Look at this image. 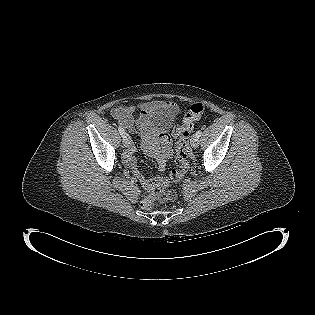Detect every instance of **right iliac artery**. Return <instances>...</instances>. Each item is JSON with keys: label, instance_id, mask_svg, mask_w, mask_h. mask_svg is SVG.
Here are the masks:
<instances>
[{"label": "right iliac artery", "instance_id": "obj_1", "mask_svg": "<svg viewBox=\"0 0 315 315\" xmlns=\"http://www.w3.org/2000/svg\"><path fill=\"white\" fill-rule=\"evenodd\" d=\"M118 131L122 137L125 136V130L121 126L118 127Z\"/></svg>", "mask_w": 315, "mask_h": 315}]
</instances>
